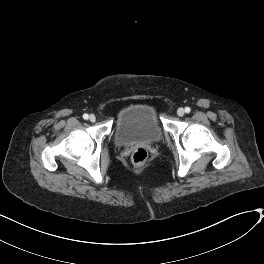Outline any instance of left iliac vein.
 <instances>
[{
  "label": "left iliac vein",
  "mask_w": 264,
  "mask_h": 264,
  "mask_svg": "<svg viewBox=\"0 0 264 264\" xmlns=\"http://www.w3.org/2000/svg\"><path fill=\"white\" fill-rule=\"evenodd\" d=\"M177 114H178V116L182 117L185 114V110L183 108H179L177 110Z\"/></svg>",
  "instance_id": "obj_1"
}]
</instances>
